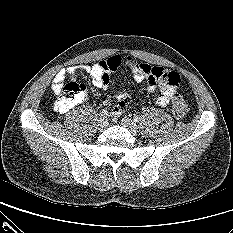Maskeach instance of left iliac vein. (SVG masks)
Listing matches in <instances>:
<instances>
[{
    "label": "left iliac vein",
    "instance_id": "obj_1",
    "mask_svg": "<svg viewBox=\"0 0 233 233\" xmlns=\"http://www.w3.org/2000/svg\"><path fill=\"white\" fill-rule=\"evenodd\" d=\"M121 122H122V125L126 127L127 129H129L133 135L138 134L139 132L138 126L133 120L129 118H123Z\"/></svg>",
    "mask_w": 233,
    "mask_h": 233
}]
</instances>
